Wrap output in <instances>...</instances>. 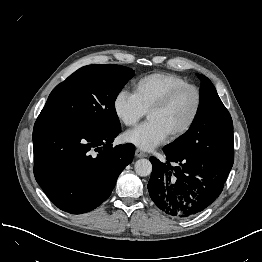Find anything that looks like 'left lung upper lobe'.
Listing matches in <instances>:
<instances>
[{"mask_svg": "<svg viewBox=\"0 0 262 262\" xmlns=\"http://www.w3.org/2000/svg\"><path fill=\"white\" fill-rule=\"evenodd\" d=\"M201 80L200 104L190 129L166 148L173 153L205 161H220L229 148L233 149V122L212 82L204 75Z\"/></svg>", "mask_w": 262, "mask_h": 262, "instance_id": "left-lung-upper-lobe-1", "label": "left lung upper lobe"}]
</instances>
